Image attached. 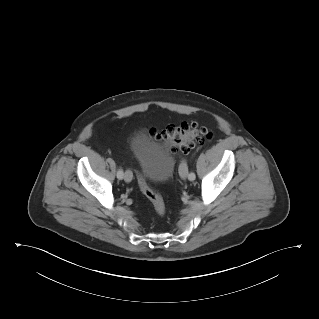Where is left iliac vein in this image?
<instances>
[{
	"label": "left iliac vein",
	"instance_id": "1",
	"mask_svg": "<svg viewBox=\"0 0 319 319\" xmlns=\"http://www.w3.org/2000/svg\"><path fill=\"white\" fill-rule=\"evenodd\" d=\"M179 174L182 179L189 178L188 168L186 162H183L182 166L179 169Z\"/></svg>",
	"mask_w": 319,
	"mask_h": 319
}]
</instances>
